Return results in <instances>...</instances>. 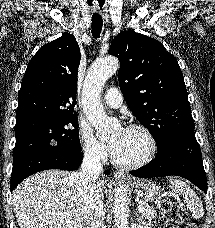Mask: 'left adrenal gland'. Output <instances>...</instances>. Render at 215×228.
<instances>
[{"instance_id":"left-adrenal-gland-1","label":"left adrenal gland","mask_w":215,"mask_h":228,"mask_svg":"<svg viewBox=\"0 0 215 228\" xmlns=\"http://www.w3.org/2000/svg\"><path fill=\"white\" fill-rule=\"evenodd\" d=\"M135 218H136L137 222H139V224H144V220H143L142 216H139V214H135Z\"/></svg>"}]
</instances>
